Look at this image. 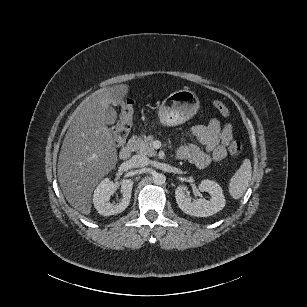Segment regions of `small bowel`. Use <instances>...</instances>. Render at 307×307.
<instances>
[{"label":"small bowel","mask_w":307,"mask_h":307,"mask_svg":"<svg viewBox=\"0 0 307 307\" xmlns=\"http://www.w3.org/2000/svg\"><path fill=\"white\" fill-rule=\"evenodd\" d=\"M190 134L200 145L183 143L176 155L199 168L223 160L227 156L230 143L234 140L232 124L222 125L217 118L210 119L206 125L193 126Z\"/></svg>","instance_id":"1"}]
</instances>
